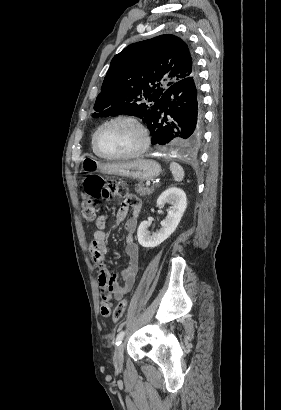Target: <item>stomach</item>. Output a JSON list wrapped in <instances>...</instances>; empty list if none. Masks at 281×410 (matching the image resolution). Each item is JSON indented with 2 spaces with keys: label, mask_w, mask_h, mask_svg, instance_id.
I'll return each mask as SVG.
<instances>
[{
  "label": "stomach",
  "mask_w": 281,
  "mask_h": 410,
  "mask_svg": "<svg viewBox=\"0 0 281 410\" xmlns=\"http://www.w3.org/2000/svg\"><path fill=\"white\" fill-rule=\"evenodd\" d=\"M83 171H95L138 180H150L161 173L160 165L148 159H134L119 163L102 164L93 158L82 160Z\"/></svg>",
  "instance_id": "stomach-1"
}]
</instances>
